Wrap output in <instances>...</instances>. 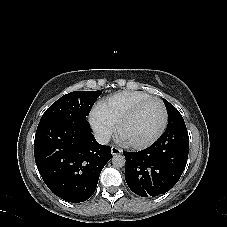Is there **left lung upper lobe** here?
<instances>
[{
  "label": "left lung upper lobe",
  "mask_w": 227,
  "mask_h": 227,
  "mask_svg": "<svg viewBox=\"0 0 227 227\" xmlns=\"http://www.w3.org/2000/svg\"><path fill=\"white\" fill-rule=\"evenodd\" d=\"M163 101H164V104L166 105L167 112H168V123L183 119L179 111L173 105H171L164 98H163Z\"/></svg>",
  "instance_id": "1"
}]
</instances>
